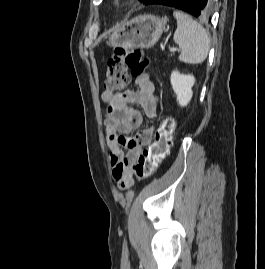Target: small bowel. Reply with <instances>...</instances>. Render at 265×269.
Returning <instances> with one entry per match:
<instances>
[{
  "label": "small bowel",
  "mask_w": 265,
  "mask_h": 269,
  "mask_svg": "<svg viewBox=\"0 0 265 269\" xmlns=\"http://www.w3.org/2000/svg\"><path fill=\"white\" fill-rule=\"evenodd\" d=\"M136 85V90H127L123 93L105 90L101 94L102 100L107 105L105 128L112 175L121 188L131 185L132 166L152 136L151 129H143L137 136H131V133L141 126L143 116L130 105H139L149 118L156 115L159 106L155 85L146 74L137 76Z\"/></svg>",
  "instance_id": "1"
}]
</instances>
